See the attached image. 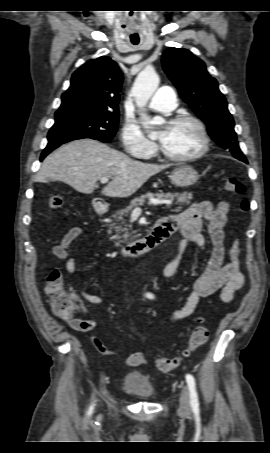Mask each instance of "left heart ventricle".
<instances>
[{
  "mask_svg": "<svg viewBox=\"0 0 270 453\" xmlns=\"http://www.w3.org/2000/svg\"><path fill=\"white\" fill-rule=\"evenodd\" d=\"M159 139L165 152L175 156L193 154L202 145L199 131L191 123L164 125L160 129Z\"/></svg>",
  "mask_w": 270,
  "mask_h": 453,
  "instance_id": "1",
  "label": "left heart ventricle"
}]
</instances>
